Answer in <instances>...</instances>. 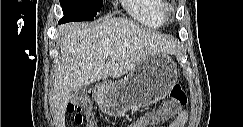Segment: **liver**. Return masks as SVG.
<instances>
[{
  "label": "liver",
  "instance_id": "liver-1",
  "mask_svg": "<svg viewBox=\"0 0 243 127\" xmlns=\"http://www.w3.org/2000/svg\"><path fill=\"white\" fill-rule=\"evenodd\" d=\"M59 31L61 57L50 96L56 127H65L72 90L109 77L119 78L148 55L174 54L179 49L173 38L126 18H105L92 25L66 24ZM106 51L112 54L107 55Z\"/></svg>",
  "mask_w": 243,
  "mask_h": 127
}]
</instances>
